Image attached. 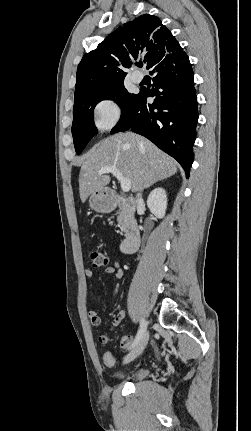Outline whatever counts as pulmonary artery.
I'll list each match as a JSON object with an SVG mask.
<instances>
[{
    "mask_svg": "<svg viewBox=\"0 0 251 431\" xmlns=\"http://www.w3.org/2000/svg\"><path fill=\"white\" fill-rule=\"evenodd\" d=\"M132 80L136 83L140 82L142 80V75L140 73H134L132 75Z\"/></svg>",
    "mask_w": 251,
    "mask_h": 431,
    "instance_id": "pulmonary-artery-1",
    "label": "pulmonary artery"
}]
</instances>
